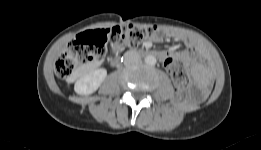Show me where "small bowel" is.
Instances as JSON below:
<instances>
[{"label":"small bowel","instance_id":"obj_1","mask_svg":"<svg viewBox=\"0 0 261 150\" xmlns=\"http://www.w3.org/2000/svg\"><path fill=\"white\" fill-rule=\"evenodd\" d=\"M164 36L181 41L184 43L186 47L184 50L181 51L163 50L158 52V58L164 62V66L166 69H167V62L169 60L175 58H181L191 62L197 70H201V65L196 61L194 57V52L200 50V44L193 36L176 30H166L163 32L155 33L151 39L152 41L158 42L161 41ZM146 46L149 47L150 43L147 42Z\"/></svg>","mask_w":261,"mask_h":150}]
</instances>
